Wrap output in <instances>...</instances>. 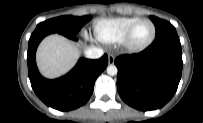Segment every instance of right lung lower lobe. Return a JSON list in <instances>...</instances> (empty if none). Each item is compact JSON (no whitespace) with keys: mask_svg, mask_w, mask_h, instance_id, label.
<instances>
[{"mask_svg":"<svg viewBox=\"0 0 203 123\" xmlns=\"http://www.w3.org/2000/svg\"><path fill=\"white\" fill-rule=\"evenodd\" d=\"M48 34L34 31L29 39L27 63L31 86L47 106L60 111L76 109L91 97L97 77L108 65V56L98 60L81 58L68 74L48 80L40 75L35 60L36 49ZM67 37L76 40L74 35Z\"/></svg>","mask_w":203,"mask_h":123,"instance_id":"obj_1","label":"right lung lower lobe"}]
</instances>
